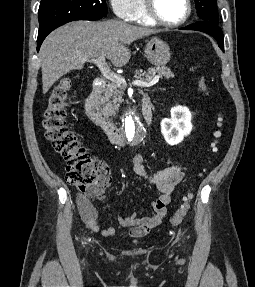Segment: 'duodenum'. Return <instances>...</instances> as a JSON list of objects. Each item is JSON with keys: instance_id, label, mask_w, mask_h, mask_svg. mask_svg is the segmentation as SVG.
<instances>
[{"instance_id": "1", "label": "duodenum", "mask_w": 255, "mask_h": 287, "mask_svg": "<svg viewBox=\"0 0 255 287\" xmlns=\"http://www.w3.org/2000/svg\"><path fill=\"white\" fill-rule=\"evenodd\" d=\"M106 86L107 84L104 80L99 79L95 82L93 90L86 100L85 110L90 120L105 133L112 144L122 145L125 143V138L121 129L106 118L99 108L100 98ZM142 114L145 123L150 124L152 120V106L148 95H144L142 98Z\"/></svg>"}]
</instances>
